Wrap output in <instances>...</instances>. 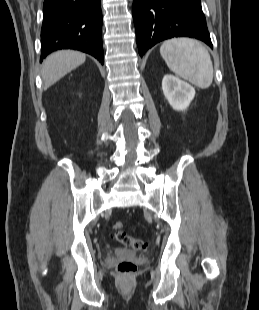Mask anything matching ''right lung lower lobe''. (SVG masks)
Returning <instances> with one entry per match:
<instances>
[{
    "instance_id": "obj_1",
    "label": "right lung lower lobe",
    "mask_w": 259,
    "mask_h": 310,
    "mask_svg": "<svg viewBox=\"0 0 259 310\" xmlns=\"http://www.w3.org/2000/svg\"><path fill=\"white\" fill-rule=\"evenodd\" d=\"M59 49L80 50L104 64L100 0H44L40 61Z\"/></svg>"
}]
</instances>
